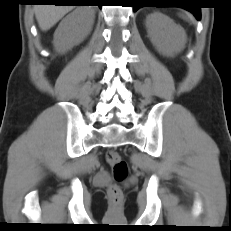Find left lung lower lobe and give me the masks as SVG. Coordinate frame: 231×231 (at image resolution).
<instances>
[{
	"label": "left lung lower lobe",
	"mask_w": 231,
	"mask_h": 231,
	"mask_svg": "<svg viewBox=\"0 0 231 231\" xmlns=\"http://www.w3.org/2000/svg\"><path fill=\"white\" fill-rule=\"evenodd\" d=\"M160 1L161 0H133V8L134 11H137L141 7H157V4H159ZM168 3L183 4V6L178 7H182L192 12L198 20L201 19L200 7H198L193 0H171Z\"/></svg>",
	"instance_id": "0a47b994"
}]
</instances>
